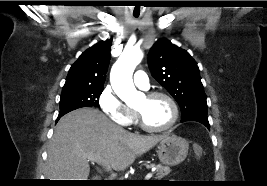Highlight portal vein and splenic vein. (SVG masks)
I'll return each instance as SVG.
<instances>
[{"label":"portal vein and splenic vein","instance_id":"18ae733b","mask_svg":"<svg viewBox=\"0 0 267 186\" xmlns=\"http://www.w3.org/2000/svg\"><path fill=\"white\" fill-rule=\"evenodd\" d=\"M88 161H94V162H97L103 166H105L104 162L102 159H98V158H94V157H88ZM109 170H111L109 167H108ZM113 176H115V174L113 173L112 174ZM152 177V173L149 172L147 173V175L145 176V179H150Z\"/></svg>","mask_w":267,"mask_h":186}]
</instances>
